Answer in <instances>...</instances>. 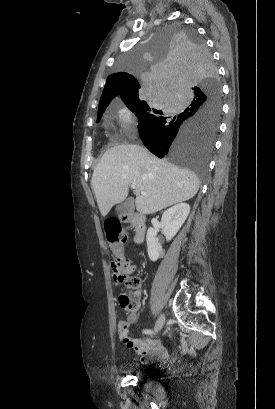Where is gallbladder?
I'll return each mask as SVG.
<instances>
[{"label":"gallbladder","instance_id":"bac80fb5","mask_svg":"<svg viewBox=\"0 0 275 409\" xmlns=\"http://www.w3.org/2000/svg\"><path fill=\"white\" fill-rule=\"evenodd\" d=\"M134 211V198H126L125 202H121V205H117L116 213H123V215H129Z\"/></svg>","mask_w":275,"mask_h":409}]
</instances>
